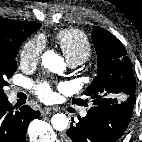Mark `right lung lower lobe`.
<instances>
[{
	"label": "right lung lower lobe",
	"mask_w": 142,
	"mask_h": 142,
	"mask_svg": "<svg viewBox=\"0 0 142 142\" xmlns=\"http://www.w3.org/2000/svg\"><path fill=\"white\" fill-rule=\"evenodd\" d=\"M39 115L29 106L14 111L7 97L0 99V142H25L29 123Z\"/></svg>",
	"instance_id": "right-lung-lower-lobe-1"
}]
</instances>
